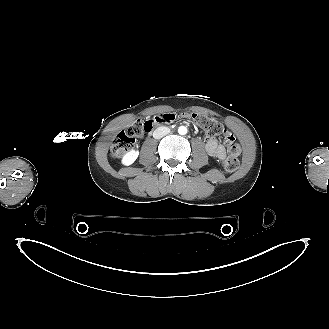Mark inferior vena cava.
<instances>
[{
  "instance_id": "obj_1",
  "label": "inferior vena cava",
  "mask_w": 329,
  "mask_h": 329,
  "mask_svg": "<svg viewBox=\"0 0 329 329\" xmlns=\"http://www.w3.org/2000/svg\"><path fill=\"white\" fill-rule=\"evenodd\" d=\"M170 133V129L168 127H158L154 132H153V137L155 139H160L162 137H164L165 135Z\"/></svg>"
}]
</instances>
